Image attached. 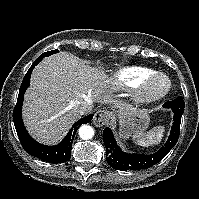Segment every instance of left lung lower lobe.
I'll return each mask as SVG.
<instances>
[{"label":"left lung lower lobe","mask_w":199,"mask_h":199,"mask_svg":"<svg viewBox=\"0 0 199 199\" xmlns=\"http://www.w3.org/2000/svg\"><path fill=\"white\" fill-rule=\"evenodd\" d=\"M174 113L173 125L170 136L165 145L154 154H129L123 152L117 145L114 136L109 128L103 131V141L106 147L107 163L114 169L120 171L143 170L152 167L160 162L169 151L175 146L180 134L181 117L184 112V100L178 97L165 103Z\"/></svg>","instance_id":"1"}]
</instances>
